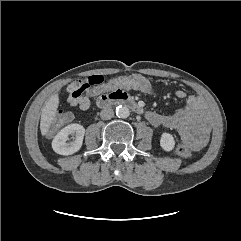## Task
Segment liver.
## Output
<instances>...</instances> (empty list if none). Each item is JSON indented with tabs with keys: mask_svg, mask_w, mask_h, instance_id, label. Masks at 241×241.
Wrapping results in <instances>:
<instances>
[{
	"mask_svg": "<svg viewBox=\"0 0 241 241\" xmlns=\"http://www.w3.org/2000/svg\"><path fill=\"white\" fill-rule=\"evenodd\" d=\"M59 106L58 94L52 95L46 102L44 108L42 109L40 130L41 134L45 136L56 116L57 108Z\"/></svg>",
	"mask_w": 241,
	"mask_h": 241,
	"instance_id": "liver-1",
	"label": "liver"
}]
</instances>
